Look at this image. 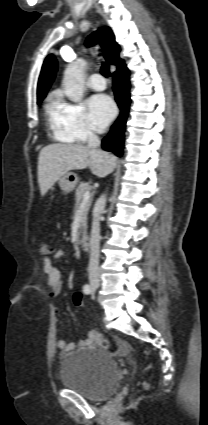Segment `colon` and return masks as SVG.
Returning <instances> with one entry per match:
<instances>
[{
    "mask_svg": "<svg viewBox=\"0 0 208 425\" xmlns=\"http://www.w3.org/2000/svg\"><path fill=\"white\" fill-rule=\"evenodd\" d=\"M38 249H39V252L42 255H44V256L50 255V254H52L54 252L53 247H51L47 243H40L39 246H38ZM73 303L76 306H80L81 305V303H82L81 294L75 293L73 295ZM92 333H93V340L95 341V343L98 346H100V347H102L104 349H111V343L103 335H101L100 333H98V332H96L94 330L92 331Z\"/></svg>",
    "mask_w": 208,
    "mask_h": 425,
    "instance_id": "1",
    "label": "colon"
}]
</instances>
